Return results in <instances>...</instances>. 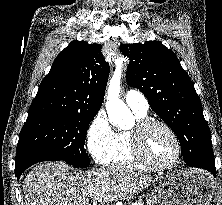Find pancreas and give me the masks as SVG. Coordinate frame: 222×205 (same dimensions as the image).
I'll use <instances>...</instances> for the list:
<instances>
[{
  "label": "pancreas",
  "mask_w": 222,
  "mask_h": 205,
  "mask_svg": "<svg viewBox=\"0 0 222 205\" xmlns=\"http://www.w3.org/2000/svg\"><path fill=\"white\" fill-rule=\"evenodd\" d=\"M136 205H144V203L140 200Z\"/></svg>",
  "instance_id": "1"
}]
</instances>
